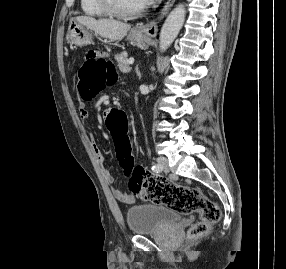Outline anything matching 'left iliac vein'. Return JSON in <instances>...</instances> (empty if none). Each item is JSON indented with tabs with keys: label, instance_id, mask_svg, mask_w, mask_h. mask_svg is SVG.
<instances>
[{
	"label": "left iliac vein",
	"instance_id": "1",
	"mask_svg": "<svg viewBox=\"0 0 286 269\" xmlns=\"http://www.w3.org/2000/svg\"><path fill=\"white\" fill-rule=\"evenodd\" d=\"M157 161L160 165H162L163 170L165 172H169L170 169H169V165H168V159L166 157H163V156L159 157Z\"/></svg>",
	"mask_w": 286,
	"mask_h": 269
}]
</instances>
